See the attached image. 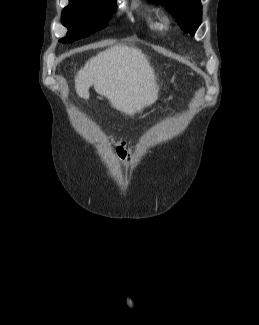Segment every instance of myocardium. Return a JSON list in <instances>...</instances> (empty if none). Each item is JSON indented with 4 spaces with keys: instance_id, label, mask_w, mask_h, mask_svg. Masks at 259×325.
<instances>
[{
    "instance_id": "myocardium-1",
    "label": "myocardium",
    "mask_w": 259,
    "mask_h": 325,
    "mask_svg": "<svg viewBox=\"0 0 259 325\" xmlns=\"http://www.w3.org/2000/svg\"><path fill=\"white\" fill-rule=\"evenodd\" d=\"M161 21L164 27H169L172 22V17L169 13H164L161 16Z\"/></svg>"
}]
</instances>
